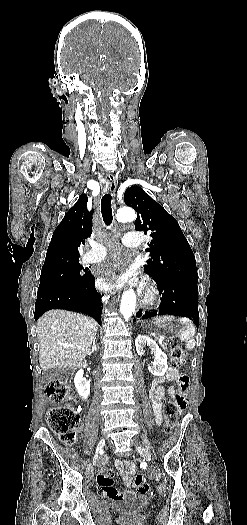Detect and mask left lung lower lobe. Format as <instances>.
<instances>
[{
    "mask_svg": "<svg viewBox=\"0 0 247 525\" xmlns=\"http://www.w3.org/2000/svg\"><path fill=\"white\" fill-rule=\"evenodd\" d=\"M159 292L162 294L158 311H147L144 315L138 312L141 319L157 315H176L190 318L194 324L199 325L198 291L197 284L189 282H157ZM135 321V319H134Z\"/></svg>",
    "mask_w": 247,
    "mask_h": 525,
    "instance_id": "left-lung-lower-lobe-1",
    "label": "left lung lower lobe"
}]
</instances>
